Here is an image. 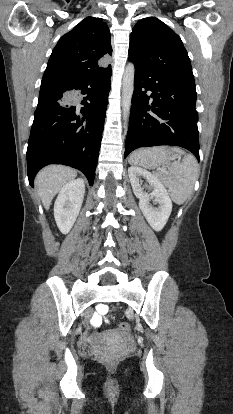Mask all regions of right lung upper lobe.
<instances>
[{"label":"right lung upper lobe","mask_w":233,"mask_h":414,"mask_svg":"<svg viewBox=\"0 0 233 414\" xmlns=\"http://www.w3.org/2000/svg\"><path fill=\"white\" fill-rule=\"evenodd\" d=\"M112 54L107 24L87 17L63 35L53 49L43 80H75L104 74Z\"/></svg>","instance_id":"cb5924a9"}]
</instances>
